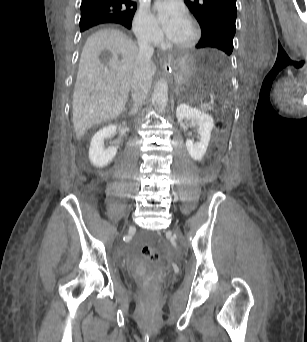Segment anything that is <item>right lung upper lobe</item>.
Masks as SVG:
<instances>
[{
    "label": "right lung upper lobe",
    "mask_w": 307,
    "mask_h": 342,
    "mask_svg": "<svg viewBox=\"0 0 307 342\" xmlns=\"http://www.w3.org/2000/svg\"><path fill=\"white\" fill-rule=\"evenodd\" d=\"M91 9L114 11L120 15L119 18L107 23L121 24L131 28L132 19L136 11V3L132 0H82L81 10Z\"/></svg>",
    "instance_id": "1"
}]
</instances>
